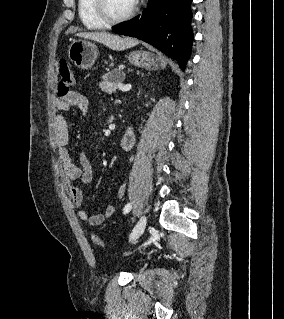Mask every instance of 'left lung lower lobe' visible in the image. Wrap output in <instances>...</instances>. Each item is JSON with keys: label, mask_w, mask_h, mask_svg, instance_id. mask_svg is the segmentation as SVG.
Masks as SVG:
<instances>
[{"label": "left lung lower lobe", "mask_w": 284, "mask_h": 319, "mask_svg": "<svg viewBox=\"0 0 284 319\" xmlns=\"http://www.w3.org/2000/svg\"><path fill=\"white\" fill-rule=\"evenodd\" d=\"M192 0H149L143 13L112 28L115 33L136 37L174 58L182 70L190 57Z\"/></svg>", "instance_id": "1"}]
</instances>
